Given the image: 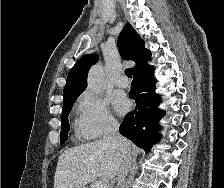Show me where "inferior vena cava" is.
Returning <instances> with one entry per match:
<instances>
[{"instance_id": "obj_1", "label": "inferior vena cava", "mask_w": 224, "mask_h": 188, "mask_svg": "<svg viewBox=\"0 0 224 188\" xmlns=\"http://www.w3.org/2000/svg\"><path fill=\"white\" fill-rule=\"evenodd\" d=\"M104 143L118 149L120 152V167L117 173V187L121 188L122 183L129 171L131 165V148L129 142L119 133V123L116 120H110L105 129Z\"/></svg>"}]
</instances>
